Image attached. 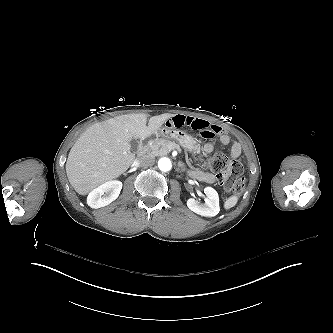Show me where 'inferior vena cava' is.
Returning <instances> with one entry per match:
<instances>
[{"instance_id": "obj_1", "label": "inferior vena cava", "mask_w": 333, "mask_h": 333, "mask_svg": "<svg viewBox=\"0 0 333 333\" xmlns=\"http://www.w3.org/2000/svg\"><path fill=\"white\" fill-rule=\"evenodd\" d=\"M154 162V158L147 155H144L137 160V163L142 166H152Z\"/></svg>"}]
</instances>
